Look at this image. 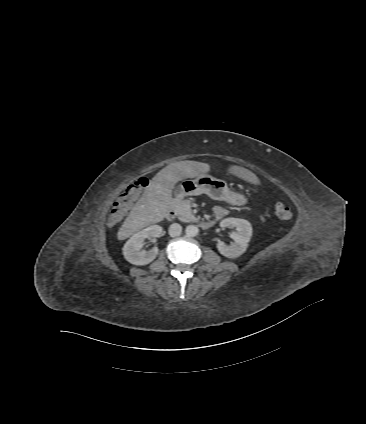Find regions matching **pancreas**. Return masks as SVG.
Here are the masks:
<instances>
[{
	"instance_id": "obj_1",
	"label": "pancreas",
	"mask_w": 366,
	"mask_h": 424,
	"mask_svg": "<svg viewBox=\"0 0 366 424\" xmlns=\"http://www.w3.org/2000/svg\"><path fill=\"white\" fill-rule=\"evenodd\" d=\"M178 218L183 222H196L197 218L191 211V200H178L176 202Z\"/></svg>"
}]
</instances>
